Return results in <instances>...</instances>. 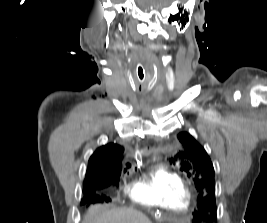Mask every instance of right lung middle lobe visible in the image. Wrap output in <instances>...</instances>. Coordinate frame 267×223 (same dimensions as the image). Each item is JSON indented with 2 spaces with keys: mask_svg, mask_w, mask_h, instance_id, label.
Wrapping results in <instances>:
<instances>
[{
  "mask_svg": "<svg viewBox=\"0 0 267 223\" xmlns=\"http://www.w3.org/2000/svg\"><path fill=\"white\" fill-rule=\"evenodd\" d=\"M120 175H121V171H113L108 173L106 176H104L101 180L105 182L104 186H109L111 184H115L119 181L120 179ZM86 200H88L89 202H96V201H103L105 200L107 201H111L110 198L107 197H99L98 195H96L95 192L89 193L84 195V198L82 200L81 203H85Z\"/></svg>",
  "mask_w": 267,
  "mask_h": 223,
  "instance_id": "obj_1",
  "label": "right lung middle lobe"
}]
</instances>
